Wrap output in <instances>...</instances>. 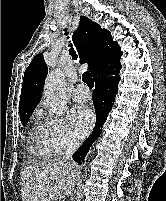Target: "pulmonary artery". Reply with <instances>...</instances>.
Instances as JSON below:
<instances>
[{
  "label": "pulmonary artery",
  "mask_w": 166,
  "mask_h": 201,
  "mask_svg": "<svg viewBox=\"0 0 166 201\" xmlns=\"http://www.w3.org/2000/svg\"><path fill=\"white\" fill-rule=\"evenodd\" d=\"M73 98L78 102L88 101L91 98L90 90L85 85H79L73 91Z\"/></svg>",
  "instance_id": "pulmonary-artery-1"
}]
</instances>
